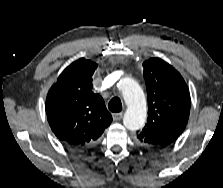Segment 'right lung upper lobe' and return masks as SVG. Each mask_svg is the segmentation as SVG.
Wrapping results in <instances>:
<instances>
[{
  "label": "right lung upper lobe",
  "instance_id": "obj_1",
  "mask_svg": "<svg viewBox=\"0 0 223 188\" xmlns=\"http://www.w3.org/2000/svg\"><path fill=\"white\" fill-rule=\"evenodd\" d=\"M93 61L81 58L68 66L50 88L46 114L54 134L76 149L92 145L112 122L103 98L92 92Z\"/></svg>",
  "mask_w": 223,
  "mask_h": 188
}]
</instances>
